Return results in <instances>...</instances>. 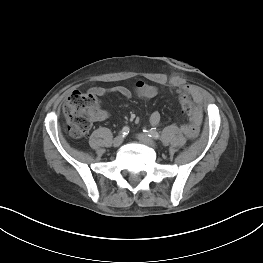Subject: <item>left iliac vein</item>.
<instances>
[{"mask_svg": "<svg viewBox=\"0 0 263 263\" xmlns=\"http://www.w3.org/2000/svg\"><path fill=\"white\" fill-rule=\"evenodd\" d=\"M137 138L141 143L149 147H152V148L156 147V143L154 142V140L150 138L147 134H144V133L138 134Z\"/></svg>", "mask_w": 263, "mask_h": 263, "instance_id": "obj_1", "label": "left iliac vein"}]
</instances>
